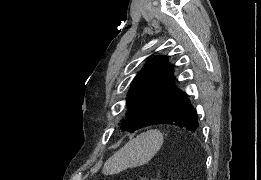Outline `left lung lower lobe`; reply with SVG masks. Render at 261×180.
<instances>
[{"label":"left lung lower lobe","instance_id":"left-lung-lower-lobe-1","mask_svg":"<svg viewBox=\"0 0 261 180\" xmlns=\"http://www.w3.org/2000/svg\"><path fill=\"white\" fill-rule=\"evenodd\" d=\"M155 124H170L190 131H194L199 127L196 110L190 104L188 95L181 92L152 123V125Z\"/></svg>","mask_w":261,"mask_h":180}]
</instances>
